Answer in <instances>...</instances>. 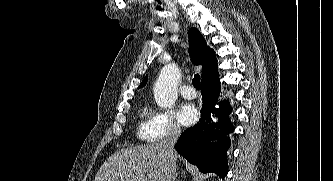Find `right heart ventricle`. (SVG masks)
Here are the masks:
<instances>
[{
	"instance_id": "1",
	"label": "right heart ventricle",
	"mask_w": 333,
	"mask_h": 181,
	"mask_svg": "<svg viewBox=\"0 0 333 181\" xmlns=\"http://www.w3.org/2000/svg\"><path fill=\"white\" fill-rule=\"evenodd\" d=\"M154 112L147 105H143L140 109V123L138 128V136L144 140H153L150 130V122Z\"/></svg>"
}]
</instances>
